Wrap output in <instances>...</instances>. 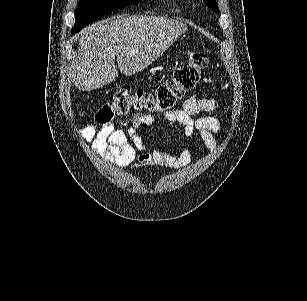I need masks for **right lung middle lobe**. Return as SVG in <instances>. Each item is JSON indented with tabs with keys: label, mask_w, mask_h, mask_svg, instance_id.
<instances>
[{
	"label": "right lung middle lobe",
	"mask_w": 307,
	"mask_h": 301,
	"mask_svg": "<svg viewBox=\"0 0 307 301\" xmlns=\"http://www.w3.org/2000/svg\"><path fill=\"white\" fill-rule=\"evenodd\" d=\"M141 0H80L75 11V24L72 34L79 32L84 26L101 19L115 9L136 4Z\"/></svg>",
	"instance_id": "dd1d6c3e"
}]
</instances>
